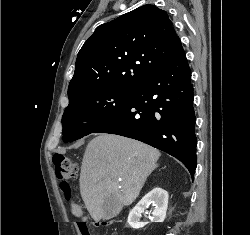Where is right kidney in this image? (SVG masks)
Returning a JSON list of instances; mask_svg holds the SVG:
<instances>
[{
    "mask_svg": "<svg viewBox=\"0 0 250 235\" xmlns=\"http://www.w3.org/2000/svg\"><path fill=\"white\" fill-rule=\"evenodd\" d=\"M168 197V192L162 188L156 187L151 190L131 210L127 220L128 224L133 229H140L144 227L146 223L140 222L139 219L150 204L154 206V210L152 212V221L163 222L166 217Z\"/></svg>",
    "mask_w": 250,
    "mask_h": 235,
    "instance_id": "ca27d5eb",
    "label": "right kidney"
}]
</instances>
